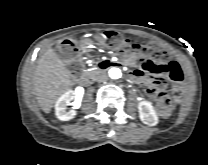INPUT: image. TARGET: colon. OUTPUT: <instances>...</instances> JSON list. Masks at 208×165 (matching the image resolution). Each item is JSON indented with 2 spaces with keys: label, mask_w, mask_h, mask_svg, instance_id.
<instances>
[{
  "label": "colon",
  "mask_w": 208,
  "mask_h": 165,
  "mask_svg": "<svg viewBox=\"0 0 208 165\" xmlns=\"http://www.w3.org/2000/svg\"><path fill=\"white\" fill-rule=\"evenodd\" d=\"M104 42L113 49H135L141 50L145 54L144 59H153L154 61L167 60L168 52L162 46L150 43L146 48L136 43H132L127 37L113 31L105 33ZM75 44L71 41H63L59 46V53L63 56H70L75 51ZM173 106V100L166 92L160 93L158 97L157 110L161 115L169 114Z\"/></svg>",
  "instance_id": "5ec220e1"
}]
</instances>
